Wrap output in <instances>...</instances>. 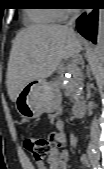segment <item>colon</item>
I'll use <instances>...</instances> for the list:
<instances>
[{"label":"colon","mask_w":104,"mask_h":169,"mask_svg":"<svg viewBox=\"0 0 104 169\" xmlns=\"http://www.w3.org/2000/svg\"><path fill=\"white\" fill-rule=\"evenodd\" d=\"M54 137H44L35 134H28L24 138V147L32 155V157L42 162L50 153Z\"/></svg>","instance_id":"1"}]
</instances>
